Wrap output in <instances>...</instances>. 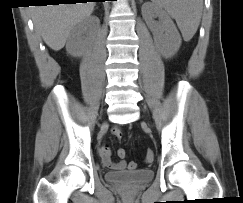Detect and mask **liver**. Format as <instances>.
Instances as JSON below:
<instances>
[{"label":"liver","mask_w":243,"mask_h":203,"mask_svg":"<svg viewBox=\"0 0 243 203\" xmlns=\"http://www.w3.org/2000/svg\"><path fill=\"white\" fill-rule=\"evenodd\" d=\"M95 3L35 6L32 18L35 29L54 51L62 49L74 26L88 18Z\"/></svg>","instance_id":"6515ba94"}]
</instances>
